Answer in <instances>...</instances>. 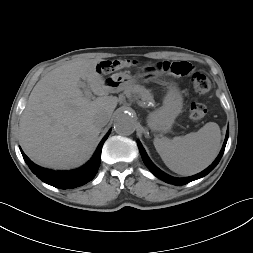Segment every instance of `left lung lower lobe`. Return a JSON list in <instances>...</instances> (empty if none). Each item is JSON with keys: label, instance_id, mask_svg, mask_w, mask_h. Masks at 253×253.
Instances as JSON below:
<instances>
[{"label": "left lung lower lobe", "instance_id": "obj_1", "mask_svg": "<svg viewBox=\"0 0 253 253\" xmlns=\"http://www.w3.org/2000/svg\"><path fill=\"white\" fill-rule=\"evenodd\" d=\"M228 135H229V130H227V133H226V137H225V141H224V144H223V147L218 155V157L216 158V160L207 168L205 169L204 171L196 174V175H193L191 177H187V178H175V177H172L166 173H164L163 171H161L158 167H156L152 161L149 159V157L147 156L144 148L142 147L140 141L138 140L137 141V145L139 147V151H140V154L142 156V159L145 163V165L148 167V169L156 176L158 177L159 179L165 181L166 183H169V184H174V185H184V184H187L191 181H194V180H197L199 178H202L204 177L205 175H207L209 172H211L215 167L216 165L219 163L223 153H224V150H225V146H226V143H227V139H228Z\"/></svg>", "mask_w": 253, "mask_h": 253}]
</instances>
